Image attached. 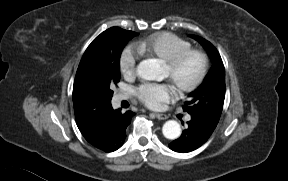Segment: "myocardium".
Listing matches in <instances>:
<instances>
[{"mask_svg":"<svg viewBox=\"0 0 288 181\" xmlns=\"http://www.w3.org/2000/svg\"><path fill=\"white\" fill-rule=\"evenodd\" d=\"M191 56H195L199 59L200 69L198 75L191 82L177 86L178 89L184 93L195 90L205 80L209 69L208 55L201 49L189 48L165 62V66L169 72L173 74L182 65V63Z\"/></svg>","mask_w":288,"mask_h":181,"instance_id":"f54148a6","label":"myocardium"}]
</instances>
